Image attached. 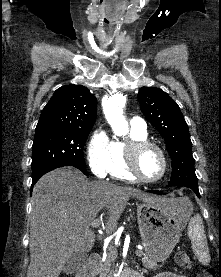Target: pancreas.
<instances>
[{
	"label": "pancreas",
	"instance_id": "pancreas-1",
	"mask_svg": "<svg viewBox=\"0 0 221 277\" xmlns=\"http://www.w3.org/2000/svg\"><path fill=\"white\" fill-rule=\"evenodd\" d=\"M137 256H143L141 261L143 266L148 269V270H157L159 269L162 265L157 264V262L149 259L147 255L141 251L138 250L136 251ZM117 258V250L113 246H109L107 249V257L104 262L103 267L101 268V275L102 277H112V272L114 270V262Z\"/></svg>",
	"mask_w": 221,
	"mask_h": 277
}]
</instances>
